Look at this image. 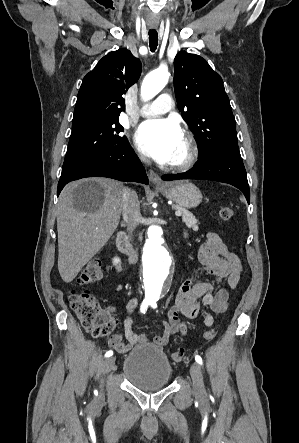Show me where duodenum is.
Listing matches in <instances>:
<instances>
[{"mask_svg": "<svg viewBox=\"0 0 299 443\" xmlns=\"http://www.w3.org/2000/svg\"><path fill=\"white\" fill-rule=\"evenodd\" d=\"M117 248L125 255L128 256L130 262L135 260V252L131 246L126 234L124 232H119L116 237Z\"/></svg>", "mask_w": 299, "mask_h": 443, "instance_id": "410a0bca", "label": "duodenum"}]
</instances>
